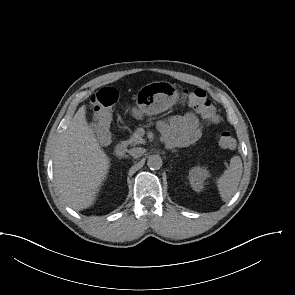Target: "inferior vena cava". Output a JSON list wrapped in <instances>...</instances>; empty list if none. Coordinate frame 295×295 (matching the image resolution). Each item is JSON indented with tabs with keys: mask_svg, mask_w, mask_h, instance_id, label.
<instances>
[{
	"mask_svg": "<svg viewBox=\"0 0 295 295\" xmlns=\"http://www.w3.org/2000/svg\"><path fill=\"white\" fill-rule=\"evenodd\" d=\"M143 153L144 150L142 148H132L129 150V154L134 158L141 157Z\"/></svg>",
	"mask_w": 295,
	"mask_h": 295,
	"instance_id": "602c4592",
	"label": "inferior vena cava"
}]
</instances>
